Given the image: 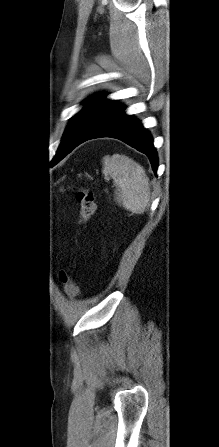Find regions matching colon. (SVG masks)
Wrapping results in <instances>:
<instances>
[{
	"mask_svg": "<svg viewBox=\"0 0 219 447\" xmlns=\"http://www.w3.org/2000/svg\"><path fill=\"white\" fill-rule=\"evenodd\" d=\"M76 199L79 204V223L86 224L95 213V198L93 192L86 187L75 188ZM61 281L64 285L66 294L70 298H74L79 294V288L75 277L67 272L62 271Z\"/></svg>",
	"mask_w": 219,
	"mask_h": 447,
	"instance_id": "1",
	"label": "colon"
}]
</instances>
